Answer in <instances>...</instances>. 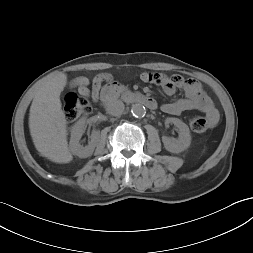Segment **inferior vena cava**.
<instances>
[{"label": "inferior vena cava", "instance_id": "1", "mask_svg": "<svg viewBox=\"0 0 253 253\" xmlns=\"http://www.w3.org/2000/svg\"><path fill=\"white\" fill-rule=\"evenodd\" d=\"M106 110L113 116H120L124 111V104L120 100H112L108 103Z\"/></svg>", "mask_w": 253, "mask_h": 253}]
</instances>
